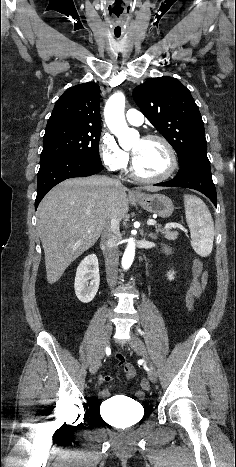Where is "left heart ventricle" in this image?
<instances>
[{"instance_id": "b2bd125f", "label": "left heart ventricle", "mask_w": 236, "mask_h": 467, "mask_svg": "<svg viewBox=\"0 0 236 467\" xmlns=\"http://www.w3.org/2000/svg\"><path fill=\"white\" fill-rule=\"evenodd\" d=\"M131 152L135 159L137 171L143 176H159L169 168V155L160 141L138 139L133 143Z\"/></svg>"}]
</instances>
